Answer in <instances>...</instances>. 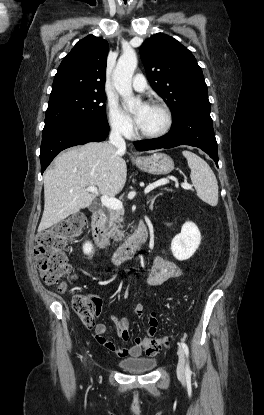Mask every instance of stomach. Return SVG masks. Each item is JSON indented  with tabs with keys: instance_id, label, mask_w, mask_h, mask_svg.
I'll list each match as a JSON object with an SVG mask.
<instances>
[{
	"instance_id": "0dacf381",
	"label": "stomach",
	"mask_w": 264,
	"mask_h": 415,
	"mask_svg": "<svg viewBox=\"0 0 264 415\" xmlns=\"http://www.w3.org/2000/svg\"><path fill=\"white\" fill-rule=\"evenodd\" d=\"M137 167L153 175H165L174 169L172 158L164 153H153L135 161Z\"/></svg>"
}]
</instances>
